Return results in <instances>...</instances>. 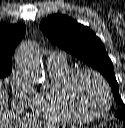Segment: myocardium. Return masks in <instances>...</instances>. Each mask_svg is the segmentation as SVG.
Masks as SVG:
<instances>
[{
	"label": "myocardium",
	"instance_id": "myocardium-1",
	"mask_svg": "<svg viewBox=\"0 0 125 128\" xmlns=\"http://www.w3.org/2000/svg\"><path fill=\"white\" fill-rule=\"evenodd\" d=\"M84 75H89L95 78L101 85L103 92L106 96V104L102 112L98 114H90L85 112L77 103L74 96V86L78 79ZM62 94L69 109L79 118L84 121H95L103 118L109 112L112 105V93L109 85L104 77L95 70L89 68H80L73 70L72 73L65 80L62 87Z\"/></svg>",
	"mask_w": 125,
	"mask_h": 128
}]
</instances>
